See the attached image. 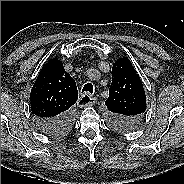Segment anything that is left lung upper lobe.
<instances>
[{
    "label": "left lung upper lobe",
    "instance_id": "1",
    "mask_svg": "<svg viewBox=\"0 0 184 184\" xmlns=\"http://www.w3.org/2000/svg\"><path fill=\"white\" fill-rule=\"evenodd\" d=\"M105 105L110 124L120 131L133 130L145 114L146 95L142 82L126 57L113 64L112 83Z\"/></svg>",
    "mask_w": 184,
    "mask_h": 184
}]
</instances>
